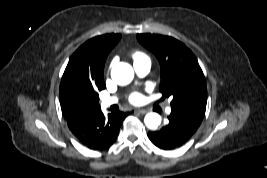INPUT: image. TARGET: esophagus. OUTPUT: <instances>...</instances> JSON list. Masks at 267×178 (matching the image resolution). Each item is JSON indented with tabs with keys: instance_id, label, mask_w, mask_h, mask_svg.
I'll use <instances>...</instances> for the list:
<instances>
[{
	"instance_id": "1",
	"label": "esophagus",
	"mask_w": 267,
	"mask_h": 178,
	"mask_svg": "<svg viewBox=\"0 0 267 178\" xmlns=\"http://www.w3.org/2000/svg\"><path fill=\"white\" fill-rule=\"evenodd\" d=\"M136 112L140 113V114H145L148 111L146 109H137Z\"/></svg>"
}]
</instances>
